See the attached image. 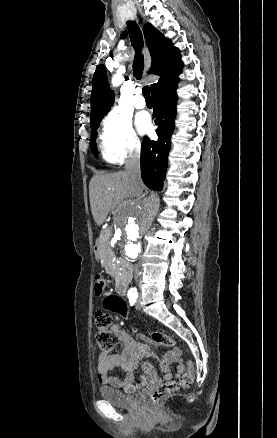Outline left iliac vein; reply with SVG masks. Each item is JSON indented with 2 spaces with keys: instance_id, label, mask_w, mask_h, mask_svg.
<instances>
[{
  "instance_id": "left-iliac-vein-1",
  "label": "left iliac vein",
  "mask_w": 277,
  "mask_h": 438,
  "mask_svg": "<svg viewBox=\"0 0 277 438\" xmlns=\"http://www.w3.org/2000/svg\"><path fill=\"white\" fill-rule=\"evenodd\" d=\"M136 309L140 310L141 309V305H140V299H138L137 303H136Z\"/></svg>"
}]
</instances>
